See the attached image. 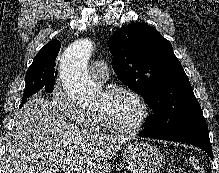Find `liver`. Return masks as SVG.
<instances>
[{
  "label": "liver",
  "instance_id": "1",
  "mask_svg": "<svg viewBox=\"0 0 219 173\" xmlns=\"http://www.w3.org/2000/svg\"><path fill=\"white\" fill-rule=\"evenodd\" d=\"M126 138L99 135L74 126L40 95L18 112L6 143L4 173H106Z\"/></svg>",
  "mask_w": 219,
  "mask_h": 173
}]
</instances>
